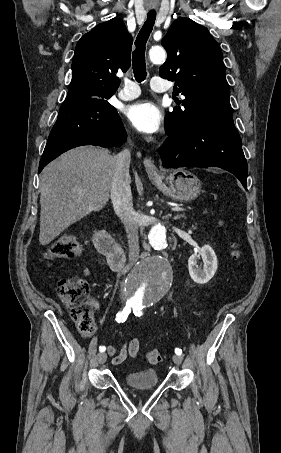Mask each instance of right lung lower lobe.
<instances>
[{"instance_id": "right-lung-lower-lobe-1", "label": "right lung lower lobe", "mask_w": 281, "mask_h": 453, "mask_svg": "<svg viewBox=\"0 0 281 453\" xmlns=\"http://www.w3.org/2000/svg\"><path fill=\"white\" fill-rule=\"evenodd\" d=\"M126 131L107 101H64L39 163V172L65 151L81 146H120Z\"/></svg>"}]
</instances>
